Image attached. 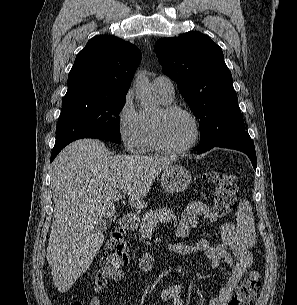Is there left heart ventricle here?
<instances>
[{
  "label": "left heart ventricle",
  "mask_w": 297,
  "mask_h": 305,
  "mask_svg": "<svg viewBox=\"0 0 297 305\" xmlns=\"http://www.w3.org/2000/svg\"><path fill=\"white\" fill-rule=\"evenodd\" d=\"M160 131L162 140L171 148L186 145L194 135L192 121L182 113H174L162 118L160 121Z\"/></svg>",
  "instance_id": "b2bd125f"
}]
</instances>
